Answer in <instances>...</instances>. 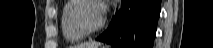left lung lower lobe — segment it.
I'll use <instances>...</instances> for the list:
<instances>
[{
	"mask_svg": "<svg viewBox=\"0 0 213 48\" xmlns=\"http://www.w3.org/2000/svg\"><path fill=\"white\" fill-rule=\"evenodd\" d=\"M161 0H121L108 29L97 40L115 48H152Z\"/></svg>",
	"mask_w": 213,
	"mask_h": 48,
	"instance_id": "1",
	"label": "left lung lower lobe"
}]
</instances>
